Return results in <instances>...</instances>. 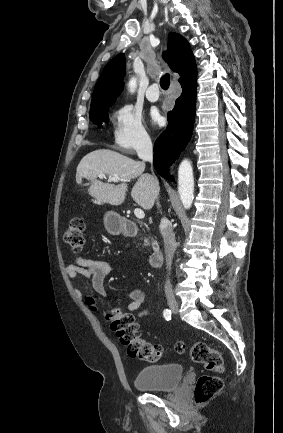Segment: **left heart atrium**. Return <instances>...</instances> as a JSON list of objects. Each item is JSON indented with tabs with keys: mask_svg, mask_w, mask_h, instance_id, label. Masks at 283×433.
<instances>
[{
	"mask_svg": "<svg viewBox=\"0 0 283 433\" xmlns=\"http://www.w3.org/2000/svg\"><path fill=\"white\" fill-rule=\"evenodd\" d=\"M151 117H152V120H153V122L154 123H160V121H161V116H160V114L156 111V112H153L152 114H151Z\"/></svg>",
	"mask_w": 283,
	"mask_h": 433,
	"instance_id": "1",
	"label": "left heart atrium"
}]
</instances>
